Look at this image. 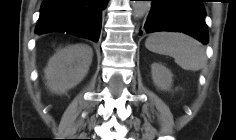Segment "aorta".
I'll return each mask as SVG.
<instances>
[{
  "instance_id": "obj_1",
  "label": "aorta",
  "mask_w": 236,
  "mask_h": 140,
  "mask_svg": "<svg viewBox=\"0 0 236 140\" xmlns=\"http://www.w3.org/2000/svg\"><path fill=\"white\" fill-rule=\"evenodd\" d=\"M151 1H133V13L137 18L143 17L150 11Z\"/></svg>"
}]
</instances>
